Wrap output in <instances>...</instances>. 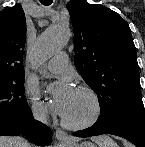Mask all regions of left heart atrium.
<instances>
[{"mask_svg": "<svg viewBox=\"0 0 145 147\" xmlns=\"http://www.w3.org/2000/svg\"><path fill=\"white\" fill-rule=\"evenodd\" d=\"M48 92L52 96L51 107L53 111L64 117L76 92L69 79H63L55 86H49Z\"/></svg>", "mask_w": 145, "mask_h": 147, "instance_id": "obj_1", "label": "left heart atrium"}]
</instances>
